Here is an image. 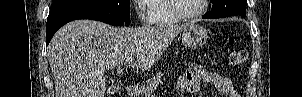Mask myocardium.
<instances>
[{"instance_id": "myocardium-1", "label": "myocardium", "mask_w": 302, "mask_h": 97, "mask_svg": "<svg viewBox=\"0 0 302 97\" xmlns=\"http://www.w3.org/2000/svg\"><path fill=\"white\" fill-rule=\"evenodd\" d=\"M175 1L176 0H169L168 1V8H169L170 13L178 21H189V20H193V19H196V18L202 16L203 14L206 13V11L208 9V2H209V0H201L202 5H201V8L198 11H196L195 13H192V14L185 15V14L180 13L177 10L176 5H175Z\"/></svg>"}]
</instances>
